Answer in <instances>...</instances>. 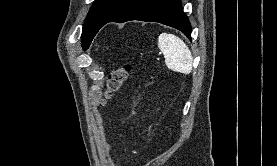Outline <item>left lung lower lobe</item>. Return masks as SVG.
I'll return each instance as SVG.
<instances>
[{
  "mask_svg": "<svg viewBox=\"0 0 277 166\" xmlns=\"http://www.w3.org/2000/svg\"><path fill=\"white\" fill-rule=\"evenodd\" d=\"M130 20L159 22L191 37V24L179 0H135L108 22L123 23Z\"/></svg>",
  "mask_w": 277,
  "mask_h": 166,
  "instance_id": "left-lung-lower-lobe-1",
  "label": "left lung lower lobe"
}]
</instances>
